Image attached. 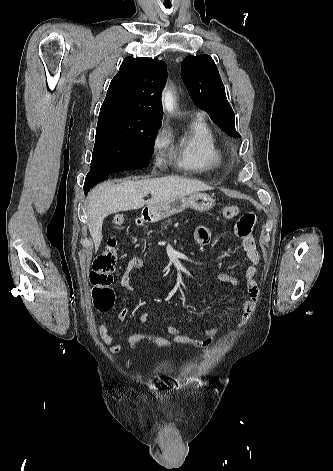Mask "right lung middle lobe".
Listing matches in <instances>:
<instances>
[{"label": "right lung middle lobe", "mask_w": 333, "mask_h": 471, "mask_svg": "<svg viewBox=\"0 0 333 471\" xmlns=\"http://www.w3.org/2000/svg\"><path fill=\"white\" fill-rule=\"evenodd\" d=\"M160 127L161 122L98 118L89 173L111 175L148 167Z\"/></svg>", "instance_id": "1"}]
</instances>
